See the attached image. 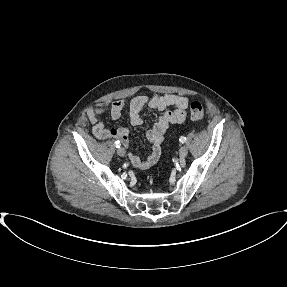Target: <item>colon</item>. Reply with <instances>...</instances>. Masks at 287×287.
Masks as SVG:
<instances>
[{
  "instance_id": "5ec220e1",
  "label": "colon",
  "mask_w": 287,
  "mask_h": 287,
  "mask_svg": "<svg viewBox=\"0 0 287 287\" xmlns=\"http://www.w3.org/2000/svg\"><path fill=\"white\" fill-rule=\"evenodd\" d=\"M191 119L197 122H201L204 119V109L201 103L193 102L190 107Z\"/></svg>"
}]
</instances>
